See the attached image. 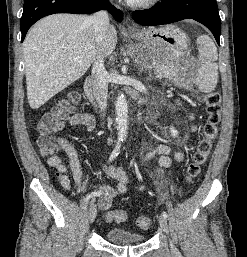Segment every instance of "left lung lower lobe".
I'll return each instance as SVG.
<instances>
[{
  "label": "left lung lower lobe",
  "mask_w": 247,
  "mask_h": 257,
  "mask_svg": "<svg viewBox=\"0 0 247 257\" xmlns=\"http://www.w3.org/2000/svg\"><path fill=\"white\" fill-rule=\"evenodd\" d=\"M132 17L145 26L194 19L205 25L220 45L221 20L216 0H162L150 9L134 11Z\"/></svg>",
  "instance_id": "1"
}]
</instances>
